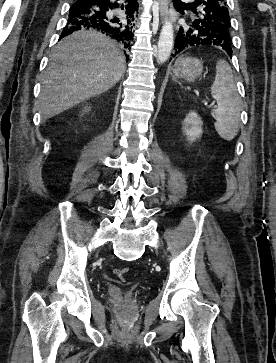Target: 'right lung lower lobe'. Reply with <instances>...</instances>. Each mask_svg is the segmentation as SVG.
<instances>
[{
  "label": "right lung lower lobe",
  "mask_w": 276,
  "mask_h": 363,
  "mask_svg": "<svg viewBox=\"0 0 276 363\" xmlns=\"http://www.w3.org/2000/svg\"><path fill=\"white\" fill-rule=\"evenodd\" d=\"M76 0L70 7L68 22L60 39L78 30H96L116 40L124 49L131 48L133 30L130 23L134 21V13L138 11L136 0ZM124 10L123 16L113 17L111 11ZM125 52V51H124ZM127 56V54H126Z\"/></svg>",
  "instance_id": "right-lung-lower-lobe-1"
}]
</instances>
